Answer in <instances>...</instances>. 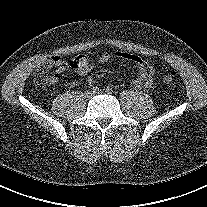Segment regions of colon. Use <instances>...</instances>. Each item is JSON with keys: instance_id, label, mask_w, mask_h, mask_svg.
<instances>
[{"instance_id": "1", "label": "colon", "mask_w": 207, "mask_h": 207, "mask_svg": "<svg viewBox=\"0 0 207 207\" xmlns=\"http://www.w3.org/2000/svg\"><path fill=\"white\" fill-rule=\"evenodd\" d=\"M67 62L61 57H53L46 62L44 66L35 73L34 80L39 86H49L55 83L60 74L66 69ZM175 72H165L162 75V81L166 84L173 82Z\"/></svg>"}]
</instances>
